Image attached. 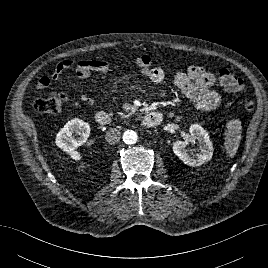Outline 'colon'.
I'll list each match as a JSON object with an SVG mask.
<instances>
[{"label":"colon","instance_id":"5ec220e1","mask_svg":"<svg viewBox=\"0 0 268 268\" xmlns=\"http://www.w3.org/2000/svg\"><path fill=\"white\" fill-rule=\"evenodd\" d=\"M219 83L224 90L233 93H246L243 81L228 69H221L218 74ZM66 103V96L63 93L48 95L34 101V109L41 114L52 115L58 113ZM245 109L249 112L255 109L253 99H246Z\"/></svg>","mask_w":268,"mask_h":268}]
</instances>
